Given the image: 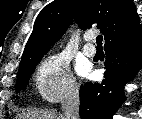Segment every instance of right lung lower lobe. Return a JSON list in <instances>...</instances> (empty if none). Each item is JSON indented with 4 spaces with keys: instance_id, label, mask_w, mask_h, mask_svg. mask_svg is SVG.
Listing matches in <instances>:
<instances>
[{
    "instance_id": "obj_1",
    "label": "right lung lower lobe",
    "mask_w": 142,
    "mask_h": 119,
    "mask_svg": "<svg viewBox=\"0 0 142 119\" xmlns=\"http://www.w3.org/2000/svg\"><path fill=\"white\" fill-rule=\"evenodd\" d=\"M105 79L80 88L81 119H112L124 101V85L142 65V29L105 46Z\"/></svg>"
}]
</instances>
